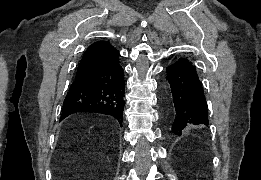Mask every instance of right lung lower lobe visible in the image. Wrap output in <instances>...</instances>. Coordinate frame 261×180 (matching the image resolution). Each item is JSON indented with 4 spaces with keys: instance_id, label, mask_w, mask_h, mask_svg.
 I'll return each mask as SVG.
<instances>
[{
    "instance_id": "1",
    "label": "right lung lower lobe",
    "mask_w": 261,
    "mask_h": 180,
    "mask_svg": "<svg viewBox=\"0 0 261 180\" xmlns=\"http://www.w3.org/2000/svg\"><path fill=\"white\" fill-rule=\"evenodd\" d=\"M125 82L119 61L93 67L75 77L64 99L61 119L79 112H96L123 120Z\"/></svg>"
}]
</instances>
